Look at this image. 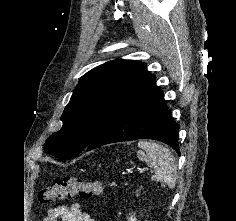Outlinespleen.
Listing matches in <instances>:
<instances>
[{
  "instance_id": "3e777b00",
  "label": "spleen",
  "mask_w": 236,
  "mask_h": 221,
  "mask_svg": "<svg viewBox=\"0 0 236 221\" xmlns=\"http://www.w3.org/2000/svg\"><path fill=\"white\" fill-rule=\"evenodd\" d=\"M138 147V159L154 169L152 180L174 188L177 181V166L171 151L160 144L144 140L138 142Z\"/></svg>"
}]
</instances>
